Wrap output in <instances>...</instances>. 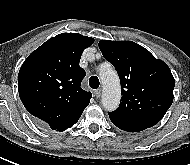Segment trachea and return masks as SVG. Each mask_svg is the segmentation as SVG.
<instances>
[{
    "label": "trachea",
    "mask_w": 190,
    "mask_h": 165,
    "mask_svg": "<svg viewBox=\"0 0 190 165\" xmlns=\"http://www.w3.org/2000/svg\"><path fill=\"white\" fill-rule=\"evenodd\" d=\"M89 85L93 89H97L99 87V79L97 76H91L89 79Z\"/></svg>",
    "instance_id": "1"
}]
</instances>
